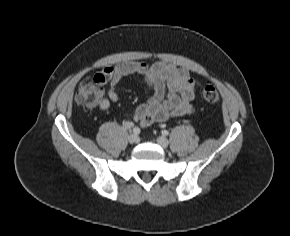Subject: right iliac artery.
I'll use <instances>...</instances> for the list:
<instances>
[{
  "label": "right iliac artery",
  "instance_id": "right-iliac-artery-1",
  "mask_svg": "<svg viewBox=\"0 0 290 236\" xmlns=\"http://www.w3.org/2000/svg\"><path fill=\"white\" fill-rule=\"evenodd\" d=\"M133 133L136 134V135L139 134L140 133V129L138 127H135L133 129Z\"/></svg>",
  "mask_w": 290,
  "mask_h": 236
}]
</instances>
